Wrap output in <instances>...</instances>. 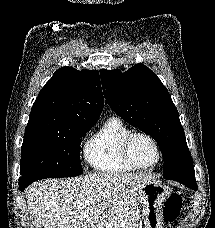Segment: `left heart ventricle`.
<instances>
[{
    "label": "left heart ventricle",
    "mask_w": 215,
    "mask_h": 228,
    "mask_svg": "<svg viewBox=\"0 0 215 228\" xmlns=\"http://www.w3.org/2000/svg\"><path fill=\"white\" fill-rule=\"evenodd\" d=\"M132 158L141 167H149L156 161L157 155L152 143L144 137L135 139L132 145Z\"/></svg>",
    "instance_id": "1"
}]
</instances>
